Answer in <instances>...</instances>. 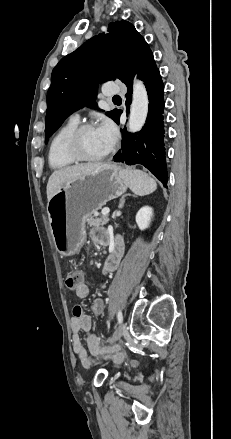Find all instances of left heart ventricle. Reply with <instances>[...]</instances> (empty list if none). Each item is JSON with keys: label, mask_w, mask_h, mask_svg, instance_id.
Here are the masks:
<instances>
[{"label": "left heart ventricle", "mask_w": 231, "mask_h": 439, "mask_svg": "<svg viewBox=\"0 0 231 439\" xmlns=\"http://www.w3.org/2000/svg\"><path fill=\"white\" fill-rule=\"evenodd\" d=\"M80 148L88 156H99L109 149L97 128L89 129L81 135Z\"/></svg>", "instance_id": "b2bd125f"}]
</instances>
